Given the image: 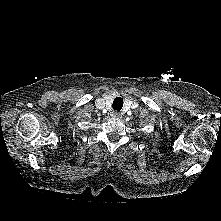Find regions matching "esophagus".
<instances>
[{
  "instance_id": "1",
  "label": "esophagus",
  "mask_w": 221,
  "mask_h": 221,
  "mask_svg": "<svg viewBox=\"0 0 221 221\" xmlns=\"http://www.w3.org/2000/svg\"><path fill=\"white\" fill-rule=\"evenodd\" d=\"M113 116H114L115 118H118V117H120V113H119L118 111H115V112L113 113Z\"/></svg>"
}]
</instances>
